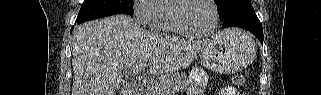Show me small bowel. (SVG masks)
<instances>
[{"label": "small bowel", "mask_w": 321, "mask_h": 95, "mask_svg": "<svg viewBox=\"0 0 321 95\" xmlns=\"http://www.w3.org/2000/svg\"><path fill=\"white\" fill-rule=\"evenodd\" d=\"M238 94H239L238 91L232 86H226L218 92V95H238Z\"/></svg>", "instance_id": "small-bowel-1"}]
</instances>
